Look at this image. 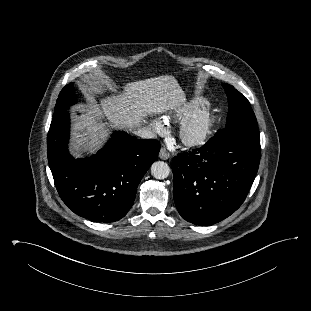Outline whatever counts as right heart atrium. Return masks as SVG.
<instances>
[{
	"label": "right heart atrium",
	"mask_w": 311,
	"mask_h": 311,
	"mask_svg": "<svg viewBox=\"0 0 311 311\" xmlns=\"http://www.w3.org/2000/svg\"><path fill=\"white\" fill-rule=\"evenodd\" d=\"M151 127L153 129V131L157 134H164L167 130L166 125L157 119H153L151 121Z\"/></svg>",
	"instance_id": "d8ad5b80"
}]
</instances>
